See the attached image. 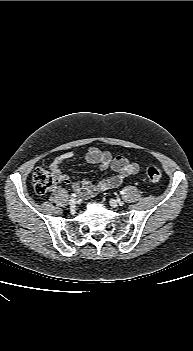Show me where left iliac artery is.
I'll return each mask as SVG.
<instances>
[{
  "mask_svg": "<svg viewBox=\"0 0 193 351\" xmlns=\"http://www.w3.org/2000/svg\"><path fill=\"white\" fill-rule=\"evenodd\" d=\"M120 194H121V195H124V194H125V191H124V190L120 191Z\"/></svg>",
  "mask_w": 193,
  "mask_h": 351,
  "instance_id": "44dca946",
  "label": "left iliac artery"
}]
</instances>
